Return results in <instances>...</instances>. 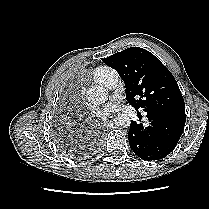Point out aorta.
Here are the masks:
<instances>
[{
    "label": "aorta",
    "mask_w": 209,
    "mask_h": 209,
    "mask_svg": "<svg viewBox=\"0 0 209 209\" xmlns=\"http://www.w3.org/2000/svg\"><path fill=\"white\" fill-rule=\"evenodd\" d=\"M86 97L93 104H102L107 100L108 92L101 86H93L86 92ZM114 123L118 127H128L130 125V117L125 114H118L114 119Z\"/></svg>",
    "instance_id": "762f6f07"
}]
</instances>
